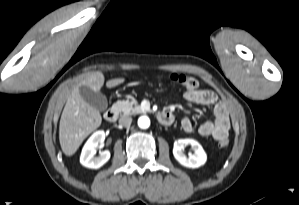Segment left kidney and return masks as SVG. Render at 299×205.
<instances>
[{
	"label": "left kidney",
	"mask_w": 299,
	"mask_h": 205,
	"mask_svg": "<svg viewBox=\"0 0 299 205\" xmlns=\"http://www.w3.org/2000/svg\"><path fill=\"white\" fill-rule=\"evenodd\" d=\"M187 145H190L194 151V154H190L188 158L183 153V149ZM173 155L181 165L188 168H198L204 165L207 160L203 147L196 140L190 138L176 140Z\"/></svg>",
	"instance_id": "5707ae66"
}]
</instances>
